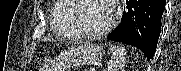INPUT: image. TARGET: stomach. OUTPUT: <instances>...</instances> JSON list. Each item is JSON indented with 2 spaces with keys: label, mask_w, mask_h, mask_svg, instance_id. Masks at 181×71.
Segmentation results:
<instances>
[{
  "label": "stomach",
  "mask_w": 181,
  "mask_h": 71,
  "mask_svg": "<svg viewBox=\"0 0 181 71\" xmlns=\"http://www.w3.org/2000/svg\"><path fill=\"white\" fill-rule=\"evenodd\" d=\"M104 55V49L97 44H81L75 48L65 50L61 55L51 61L52 67H46V71H65L82 65L99 62ZM49 65V63H47Z\"/></svg>",
  "instance_id": "1"
}]
</instances>
